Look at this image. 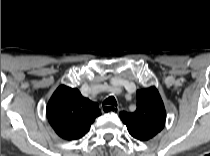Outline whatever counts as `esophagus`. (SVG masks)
<instances>
[{"label":"esophagus","mask_w":210,"mask_h":156,"mask_svg":"<svg viewBox=\"0 0 210 156\" xmlns=\"http://www.w3.org/2000/svg\"><path fill=\"white\" fill-rule=\"evenodd\" d=\"M114 106H110V105H104L101 109H102V112L104 113H109V112H113L115 109ZM117 110H119V108H117Z\"/></svg>","instance_id":"34e87169"}]
</instances>
